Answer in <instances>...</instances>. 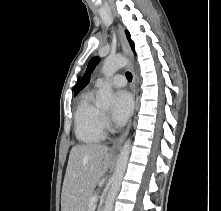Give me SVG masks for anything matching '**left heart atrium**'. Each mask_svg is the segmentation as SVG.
Listing matches in <instances>:
<instances>
[{
    "mask_svg": "<svg viewBox=\"0 0 221 211\" xmlns=\"http://www.w3.org/2000/svg\"><path fill=\"white\" fill-rule=\"evenodd\" d=\"M133 110V100L131 95L125 91H117L114 95V103L112 107V119L117 125H123Z\"/></svg>",
    "mask_w": 221,
    "mask_h": 211,
    "instance_id": "left-heart-atrium-1",
    "label": "left heart atrium"
}]
</instances>
